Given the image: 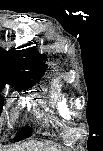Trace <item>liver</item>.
Listing matches in <instances>:
<instances>
[{"instance_id":"liver-1","label":"liver","mask_w":103,"mask_h":151,"mask_svg":"<svg viewBox=\"0 0 103 151\" xmlns=\"http://www.w3.org/2000/svg\"><path fill=\"white\" fill-rule=\"evenodd\" d=\"M12 151H60V150L54 146H50L43 142L29 141L22 144L21 146H18Z\"/></svg>"}]
</instances>
